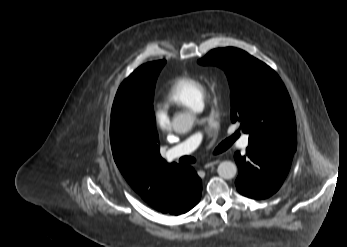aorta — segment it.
<instances>
[{
	"label": "aorta",
	"mask_w": 347,
	"mask_h": 247,
	"mask_svg": "<svg viewBox=\"0 0 347 247\" xmlns=\"http://www.w3.org/2000/svg\"><path fill=\"white\" fill-rule=\"evenodd\" d=\"M195 117L191 113H180L172 121L173 130L176 133H187L193 127ZM217 172L221 178L232 179L237 173V166L231 161H223L219 164Z\"/></svg>",
	"instance_id": "1"
}]
</instances>
